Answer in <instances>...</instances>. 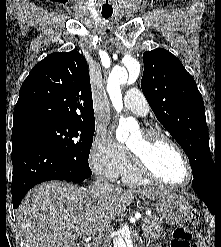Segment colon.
I'll use <instances>...</instances> for the list:
<instances>
[{
  "instance_id": "5ec220e1",
  "label": "colon",
  "mask_w": 221,
  "mask_h": 247,
  "mask_svg": "<svg viewBox=\"0 0 221 247\" xmlns=\"http://www.w3.org/2000/svg\"><path fill=\"white\" fill-rule=\"evenodd\" d=\"M199 223L198 214L193 212L184 219L172 234L170 247H190L193 230Z\"/></svg>"
}]
</instances>
